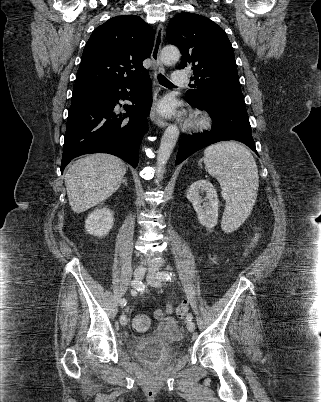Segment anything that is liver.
<instances>
[{
    "label": "liver",
    "mask_w": 321,
    "mask_h": 402,
    "mask_svg": "<svg viewBox=\"0 0 321 402\" xmlns=\"http://www.w3.org/2000/svg\"><path fill=\"white\" fill-rule=\"evenodd\" d=\"M126 173L124 162L109 154H92L67 170L65 185L71 209L81 213L110 197Z\"/></svg>",
    "instance_id": "liver-1"
}]
</instances>
